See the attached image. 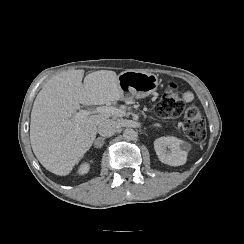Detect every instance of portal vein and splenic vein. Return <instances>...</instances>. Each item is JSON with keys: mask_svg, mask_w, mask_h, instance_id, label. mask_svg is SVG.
Masks as SVG:
<instances>
[{"mask_svg": "<svg viewBox=\"0 0 244 244\" xmlns=\"http://www.w3.org/2000/svg\"><path fill=\"white\" fill-rule=\"evenodd\" d=\"M107 114L109 116H116V117H123L126 115V111L120 108H116L113 106H101L97 107L94 110H79L74 116V122H75V127H79V122L81 119H83L85 116H88L90 114Z\"/></svg>", "mask_w": 244, "mask_h": 244, "instance_id": "1", "label": "portal vein and splenic vein"}]
</instances>
